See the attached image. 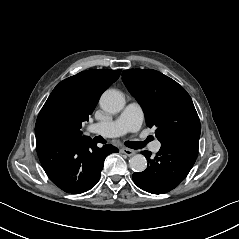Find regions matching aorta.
Instances as JSON below:
<instances>
[{
  "label": "aorta",
  "mask_w": 239,
  "mask_h": 239,
  "mask_svg": "<svg viewBox=\"0 0 239 239\" xmlns=\"http://www.w3.org/2000/svg\"><path fill=\"white\" fill-rule=\"evenodd\" d=\"M125 96L118 90H106L100 98L101 108L111 114L120 112L125 106ZM129 166L134 172H143L147 167V161L141 154L134 155L129 160Z\"/></svg>",
  "instance_id": "1"
}]
</instances>
